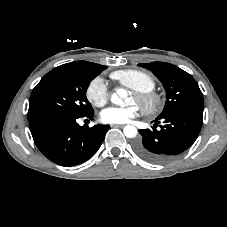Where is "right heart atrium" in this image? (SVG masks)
I'll use <instances>...</instances> for the list:
<instances>
[{
    "label": "right heart atrium",
    "mask_w": 227,
    "mask_h": 227,
    "mask_svg": "<svg viewBox=\"0 0 227 227\" xmlns=\"http://www.w3.org/2000/svg\"><path fill=\"white\" fill-rule=\"evenodd\" d=\"M86 97L96 107H102L108 102L110 91L102 77L98 76L90 81L86 89Z\"/></svg>",
    "instance_id": "1"
}]
</instances>
